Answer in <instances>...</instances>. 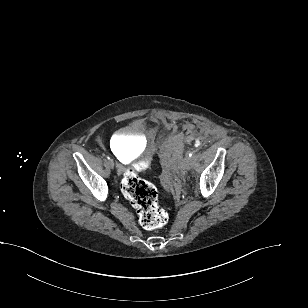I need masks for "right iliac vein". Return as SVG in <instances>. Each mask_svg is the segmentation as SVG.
<instances>
[{"label": "right iliac vein", "instance_id": "1", "mask_svg": "<svg viewBox=\"0 0 308 308\" xmlns=\"http://www.w3.org/2000/svg\"><path fill=\"white\" fill-rule=\"evenodd\" d=\"M109 165L113 168L114 167V161L112 159L109 160Z\"/></svg>", "mask_w": 308, "mask_h": 308}]
</instances>
